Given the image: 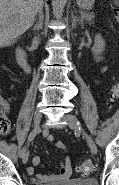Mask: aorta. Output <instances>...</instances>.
Masks as SVG:
<instances>
[{"label": "aorta", "instance_id": "obj_1", "mask_svg": "<svg viewBox=\"0 0 119 185\" xmlns=\"http://www.w3.org/2000/svg\"><path fill=\"white\" fill-rule=\"evenodd\" d=\"M67 0H52L53 15L56 19H60L63 15Z\"/></svg>", "mask_w": 119, "mask_h": 185}]
</instances>
